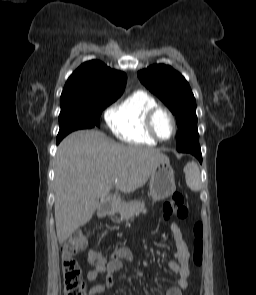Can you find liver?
Listing matches in <instances>:
<instances>
[{"label":"liver","mask_w":256,"mask_h":295,"mask_svg":"<svg viewBox=\"0 0 256 295\" xmlns=\"http://www.w3.org/2000/svg\"><path fill=\"white\" fill-rule=\"evenodd\" d=\"M167 159L158 149L120 144L97 130L69 134L58 146L54 167L59 243L91 220L113 183L121 192H134Z\"/></svg>","instance_id":"6515ba94"}]
</instances>
